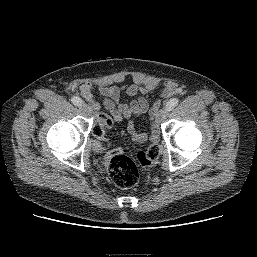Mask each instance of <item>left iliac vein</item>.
I'll list each match as a JSON object with an SVG mask.
<instances>
[{
    "label": "left iliac vein",
    "instance_id": "4c4485c4",
    "mask_svg": "<svg viewBox=\"0 0 257 257\" xmlns=\"http://www.w3.org/2000/svg\"><path fill=\"white\" fill-rule=\"evenodd\" d=\"M167 115H168V109H167V108H163V109L160 111V113L158 114L157 119H158L159 121H162V120L166 119Z\"/></svg>",
    "mask_w": 257,
    "mask_h": 257
}]
</instances>
